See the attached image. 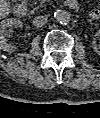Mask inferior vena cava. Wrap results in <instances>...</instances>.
Wrapping results in <instances>:
<instances>
[{
    "label": "inferior vena cava",
    "mask_w": 100,
    "mask_h": 118,
    "mask_svg": "<svg viewBox=\"0 0 100 118\" xmlns=\"http://www.w3.org/2000/svg\"><path fill=\"white\" fill-rule=\"evenodd\" d=\"M47 20H48V18L46 16L39 15L34 18L33 24L36 27H42L47 23Z\"/></svg>",
    "instance_id": "obj_1"
}]
</instances>
